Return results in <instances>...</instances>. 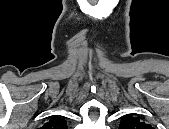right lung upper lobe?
Wrapping results in <instances>:
<instances>
[{
	"instance_id": "obj_1",
	"label": "right lung upper lobe",
	"mask_w": 169,
	"mask_h": 129,
	"mask_svg": "<svg viewBox=\"0 0 169 129\" xmlns=\"http://www.w3.org/2000/svg\"><path fill=\"white\" fill-rule=\"evenodd\" d=\"M43 127L46 129H67V122L60 117H53Z\"/></svg>"
}]
</instances>
